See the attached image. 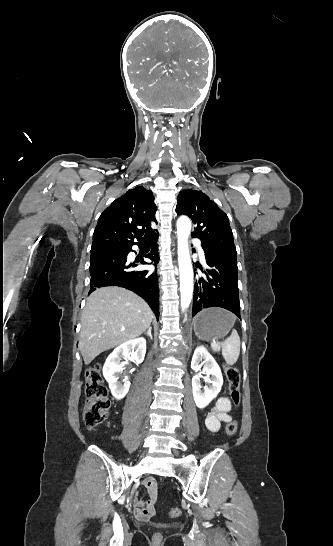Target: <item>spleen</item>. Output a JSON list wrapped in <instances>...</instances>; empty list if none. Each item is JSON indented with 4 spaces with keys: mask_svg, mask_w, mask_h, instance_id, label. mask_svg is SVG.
Listing matches in <instances>:
<instances>
[{
    "mask_svg": "<svg viewBox=\"0 0 333 546\" xmlns=\"http://www.w3.org/2000/svg\"><path fill=\"white\" fill-rule=\"evenodd\" d=\"M231 315L235 320V316ZM211 348L216 352L222 351V356L228 366L234 365L240 355V337L237 331L233 330L231 335L223 342L218 343L213 341Z\"/></svg>",
    "mask_w": 333,
    "mask_h": 546,
    "instance_id": "3e777b00",
    "label": "spleen"
}]
</instances>
